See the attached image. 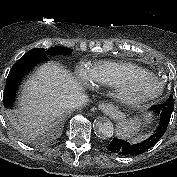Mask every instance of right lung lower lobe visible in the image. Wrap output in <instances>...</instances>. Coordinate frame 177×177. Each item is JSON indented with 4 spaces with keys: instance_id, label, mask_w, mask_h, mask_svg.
<instances>
[{
    "instance_id": "obj_1",
    "label": "right lung lower lobe",
    "mask_w": 177,
    "mask_h": 177,
    "mask_svg": "<svg viewBox=\"0 0 177 177\" xmlns=\"http://www.w3.org/2000/svg\"><path fill=\"white\" fill-rule=\"evenodd\" d=\"M48 60L49 58L45 54L37 55L26 53L16 62L9 72L4 89L3 101L7 107L12 106L14 102L17 86L21 78L25 76L37 63Z\"/></svg>"
}]
</instances>
